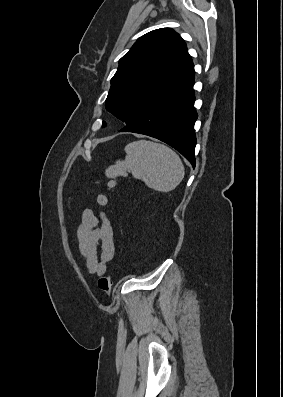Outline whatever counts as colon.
I'll use <instances>...</instances> for the list:
<instances>
[{
  "label": "colon",
  "instance_id": "5ec220e1",
  "mask_svg": "<svg viewBox=\"0 0 283 397\" xmlns=\"http://www.w3.org/2000/svg\"><path fill=\"white\" fill-rule=\"evenodd\" d=\"M97 203L100 206H106L108 203V198L105 194H98L97 196ZM98 286L99 289L104 292L109 294L111 292V288H112V280L111 277L109 275L106 276H102L99 281H98Z\"/></svg>",
  "mask_w": 283,
  "mask_h": 397
}]
</instances>
